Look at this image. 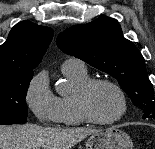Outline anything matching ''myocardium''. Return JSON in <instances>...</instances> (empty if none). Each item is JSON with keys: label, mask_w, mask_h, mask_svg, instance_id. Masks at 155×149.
<instances>
[{"label": "myocardium", "mask_w": 155, "mask_h": 149, "mask_svg": "<svg viewBox=\"0 0 155 149\" xmlns=\"http://www.w3.org/2000/svg\"><path fill=\"white\" fill-rule=\"evenodd\" d=\"M98 85H108L112 87L119 95L120 100H121V110L119 114L109 120H101L98 119L91 111L90 106H89V96L92 90L98 86ZM75 103L77 106V109L82 116V118L91 124L95 125H103V126H108L115 124L122 120L128 110V102H127V97L124 92V90L121 88L120 85H118L116 82L106 79V78H94L90 79L84 84H82L75 93Z\"/></svg>", "instance_id": "f54148a6"}]
</instances>
